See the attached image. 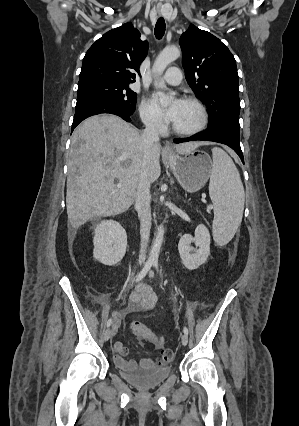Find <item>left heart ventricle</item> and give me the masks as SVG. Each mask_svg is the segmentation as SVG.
Listing matches in <instances>:
<instances>
[{
    "label": "left heart ventricle",
    "instance_id": "left-heart-ventricle-1",
    "mask_svg": "<svg viewBox=\"0 0 299 426\" xmlns=\"http://www.w3.org/2000/svg\"><path fill=\"white\" fill-rule=\"evenodd\" d=\"M200 121L197 107L188 102H181L178 115L173 124L179 129H191Z\"/></svg>",
    "mask_w": 299,
    "mask_h": 426
}]
</instances>
